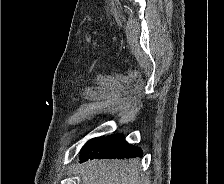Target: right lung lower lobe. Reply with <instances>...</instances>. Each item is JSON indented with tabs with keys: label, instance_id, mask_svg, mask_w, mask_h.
<instances>
[{
	"label": "right lung lower lobe",
	"instance_id": "98d812e1",
	"mask_svg": "<svg viewBox=\"0 0 224 184\" xmlns=\"http://www.w3.org/2000/svg\"><path fill=\"white\" fill-rule=\"evenodd\" d=\"M142 157V150L126 142L123 134L101 136L90 140L80 151V158H135Z\"/></svg>",
	"mask_w": 224,
	"mask_h": 184
}]
</instances>
